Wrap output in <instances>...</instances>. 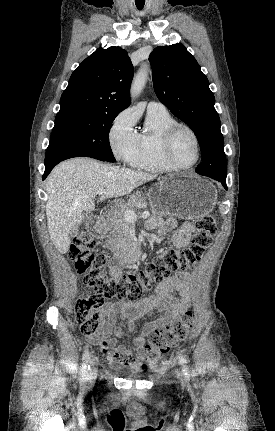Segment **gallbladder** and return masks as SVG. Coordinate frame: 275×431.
Wrapping results in <instances>:
<instances>
[{
	"instance_id": "gallbladder-1",
	"label": "gallbladder",
	"mask_w": 275,
	"mask_h": 431,
	"mask_svg": "<svg viewBox=\"0 0 275 431\" xmlns=\"http://www.w3.org/2000/svg\"><path fill=\"white\" fill-rule=\"evenodd\" d=\"M89 219H90V217H89V216H86V218L84 219V221H87V220H89ZM78 233H79V229H78V227H76L75 229H73V230L70 232V235H71V236H76Z\"/></svg>"
}]
</instances>
